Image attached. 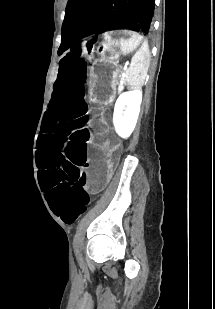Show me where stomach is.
<instances>
[{
  "instance_id": "1",
  "label": "stomach",
  "mask_w": 215,
  "mask_h": 309,
  "mask_svg": "<svg viewBox=\"0 0 215 309\" xmlns=\"http://www.w3.org/2000/svg\"><path fill=\"white\" fill-rule=\"evenodd\" d=\"M143 37L128 29L104 33L97 48L99 58L90 68L87 84L90 96L96 100H108L114 93L118 80V63L122 55L136 51Z\"/></svg>"
}]
</instances>
